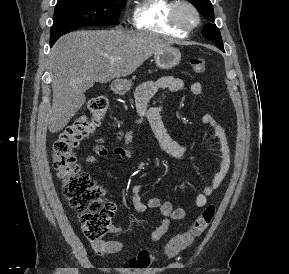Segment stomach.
I'll return each instance as SVG.
<instances>
[{
  "label": "stomach",
  "instance_id": "obj_1",
  "mask_svg": "<svg viewBox=\"0 0 289 274\" xmlns=\"http://www.w3.org/2000/svg\"><path fill=\"white\" fill-rule=\"evenodd\" d=\"M156 65L161 69H170L177 66L181 60V53L178 49L169 47L154 56ZM131 81L127 79L115 80L111 88L115 93L124 94L130 90Z\"/></svg>",
  "mask_w": 289,
  "mask_h": 274
}]
</instances>
